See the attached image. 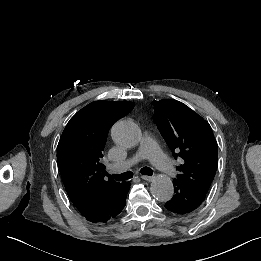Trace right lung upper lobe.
<instances>
[{
	"mask_svg": "<svg viewBox=\"0 0 261 261\" xmlns=\"http://www.w3.org/2000/svg\"><path fill=\"white\" fill-rule=\"evenodd\" d=\"M134 108L132 102L95 101L67 123L57 147V161L67 194L81 213L98 195L121 183L105 181L103 150L114 121Z\"/></svg>",
	"mask_w": 261,
	"mask_h": 261,
	"instance_id": "1",
	"label": "right lung upper lobe"
}]
</instances>
